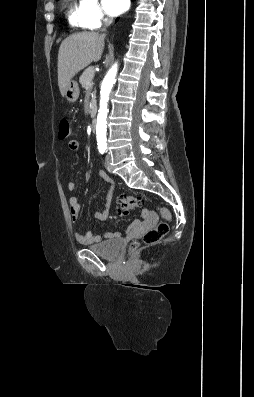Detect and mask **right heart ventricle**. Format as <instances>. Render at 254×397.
<instances>
[{
	"mask_svg": "<svg viewBox=\"0 0 254 397\" xmlns=\"http://www.w3.org/2000/svg\"><path fill=\"white\" fill-rule=\"evenodd\" d=\"M67 18H68L69 24L72 27L77 28V29L86 28L83 25L82 20L80 18L79 5H77L73 1H70V3H69L68 10H67Z\"/></svg>",
	"mask_w": 254,
	"mask_h": 397,
	"instance_id": "right-heart-ventricle-1",
	"label": "right heart ventricle"
}]
</instances>
